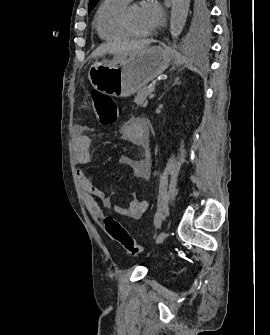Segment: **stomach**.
<instances>
[{"mask_svg": "<svg viewBox=\"0 0 270 335\" xmlns=\"http://www.w3.org/2000/svg\"><path fill=\"white\" fill-rule=\"evenodd\" d=\"M174 52L161 46L143 48L115 56L112 62H94L89 80L100 92L116 98H127L139 92L168 68Z\"/></svg>", "mask_w": 270, "mask_h": 335, "instance_id": "0dacf381", "label": "stomach"}]
</instances>
